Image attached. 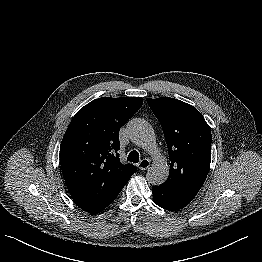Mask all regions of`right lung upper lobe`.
I'll list each match as a JSON object with an SVG mask.
<instances>
[{
  "label": "right lung upper lobe",
  "mask_w": 262,
  "mask_h": 262,
  "mask_svg": "<svg viewBox=\"0 0 262 262\" xmlns=\"http://www.w3.org/2000/svg\"><path fill=\"white\" fill-rule=\"evenodd\" d=\"M141 97H101L71 120L60 146L67 189L80 208L109 205L137 168L121 164L119 130L140 109Z\"/></svg>",
  "instance_id": "1"
}]
</instances>
